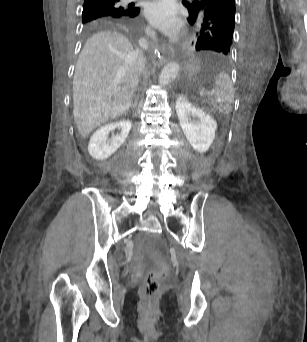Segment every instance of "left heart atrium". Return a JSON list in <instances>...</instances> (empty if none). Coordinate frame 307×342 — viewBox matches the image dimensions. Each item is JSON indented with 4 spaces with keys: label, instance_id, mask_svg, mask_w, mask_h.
<instances>
[{
    "label": "left heart atrium",
    "instance_id": "39dd6f15",
    "mask_svg": "<svg viewBox=\"0 0 307 342\" xmlns=\"http://www.w3.org/2000/svg\"><path fill=\"white\" fill-rule=\"evenodd\" d=\"M145 16L152 28L167 36L177 35L182 26L176 8L170 1L150 3L145 10Z\"/></svg>",
    "mask_w": 307,
    "mask_h": 342
}]
</instances>
